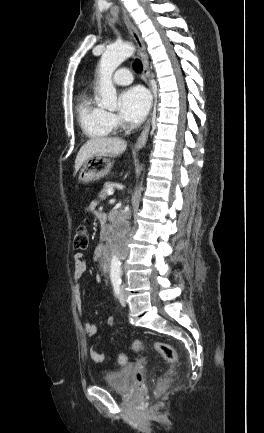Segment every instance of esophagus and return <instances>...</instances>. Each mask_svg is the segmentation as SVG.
Here are the masks:
<instances>
[{
	"mask_svg": "<svg viewBox=\"0 0 264 433\" xmlns=\"http://www.w3.org/2000/svg\"><path fill=\"white\" fill-rule=\"evenodd\" d=\"M124 14V18L126 21V25L129 29V32L132 36V38L134 39L136 46L138 48V52L142 61V65H143V78L144 81L146 82V84L148 85L151 94H152V105H153V93H152V87H151V77H150V70H149V61H148V55L146 52V47L145 44L137 30V28L134 26V24L131 22L129 16L127 15V13L125 11H123ZM150 120L151 118L148 119L142 133L140 134L136 144H135V149L139 150L141 149L147 142L148 139V133L150 130Z\"/></svg>",
	"mask_w": 264,
	"mask_h": 433,
	"instance_id": "esophagus-1",
	"label": "esophagus"
}]
</instances>
